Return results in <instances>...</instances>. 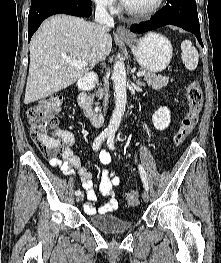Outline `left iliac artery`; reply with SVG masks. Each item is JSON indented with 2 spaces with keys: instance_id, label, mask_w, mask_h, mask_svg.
<instances>
[{
  "instance_id": "1",
  "label": "left iliac artery",
  "mask_w": 221,
  "mask_h": 263,
  "mask_svg": "<svg viewBox=\"0 0 221 263\" xmlns=\"http://www.w3.org/2000/svg\"><path fill=\"white\" fill-rule=\"evenodd\" d=\"M114 139H115V134L114 133H110L108 134V138H107V145L110 149H114L115 146H114ZM139 173H140V176H141V179H142V182H143V185H144V188L145 190L148 191V181H147V176H146V173L144 171V168L139 165Z\"/></svg>"
}]
</instances>
